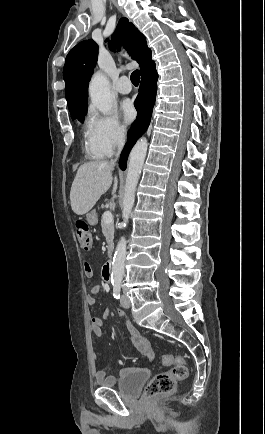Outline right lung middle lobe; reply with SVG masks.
<instances>
[{
  "label": "right lung middle lobe",
  "mask_w": 265,
  "mask_h": 434,
  "mask_svg": "<svg viewBox=\"0 0 265 434\" xmlns=\"http://www.w3.org/2000/svg\"><path fill=\"white\" fill-rule=\"evenodd\" d=\"M68 108L73 119H77L81 123L84 121L88 108L87 100L70 103L68 104Z\"/></svg>",
  "instance_id": "right-lung-middle-lobe-1"
}]
</instances>
